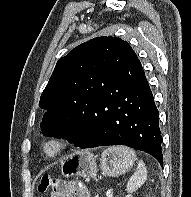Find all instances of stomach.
<instances>
[{
    "label": "stomach",
    "instance_id": "0dacf381",
    "mask_svg": "<svg viewBox=\"0 0 191 197\" xmlns=\"http://www.w3.org/2000/svg\"><path fill=\"white\" fill-rule=\"evenodd\" d=\"M132 164L125 162L119 154L109 149L100 158V168L106 176H118ZM98 167L95 156L88 150H82L70 155L63 163L61 173L64 177L82 176L84 178L96 175Z\"/></svg>",
    "mask_w": 191,
    "mask_h": 197
}]
</instances>
